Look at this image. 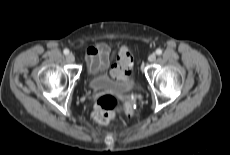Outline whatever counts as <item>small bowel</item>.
Wrapping results in <instances>:
<instances>
[{
	"label": "small bowel",
	"mask_w": 230,
	"mask_h": 155,
	"mask_svg": "<svg viewBox=\"0 0 230 155\" xmlns=\"http://www.w3.org/2000/svg\"><path fill=\"white\" fill-rule=\"evenodd\" d=\"M122 48L117 56L112 48L103 43H97L88 48L86 52L87 68L90 74L95 75L108 71L111 77L118 80H128L130 78V68L124 60L125 50ZM116 61L113 63V59Z\"/></svg>",
	"instance_id": "small-bowel-1"
}]
</instances>
